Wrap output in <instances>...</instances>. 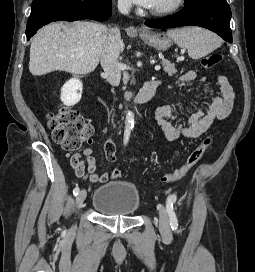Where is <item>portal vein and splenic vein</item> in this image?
Instances as JSON below:
<instances>
[{
  "mask_svg": "<svg viewBox=\"0 0 255 272\" xmlns=\"http://www.w3.org/2000/svg\"><path fill=\"white\" fill-rule=\"evenodd\" d=\"M160 69H161V66H160V65H156V66H155V70H156V71H158V70H160Z\"/></svg>",
  "mask_w": 255,
  "mask_h": 272,
  "instance_id": "obj_1",
  "label": "portal vein and splenic vein"
}]
</instances>
